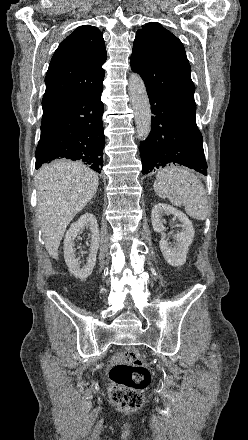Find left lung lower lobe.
<instances>
[{"label":"left lung lower lobe","instance_id":"1","mask_svg":"<svg viewBox=\"0 0 248 440\" xmlns=\"http://www.w3.org/2000/svg\"><path fill=\"white\" fill-rule=\"evenodd\" d=\"M154 114L148 138L140 144L142 173L184 165L207 175L202 135L192 119L157 94L148 93Z\"/></svg>","mask_w":248,"mask_h":440}]
</instances>
